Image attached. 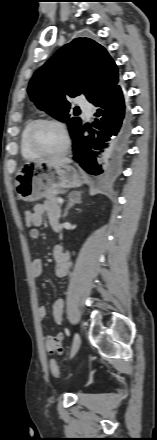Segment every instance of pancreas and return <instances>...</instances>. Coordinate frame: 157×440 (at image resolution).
Listing matches in <instances>:
<instances>
[{"label": "pancreas", "instance_id": "obj_1", "mask_svg": "<svg viewBox=\"0 0 157 440\" xmlns=\"http://www.w3.org/2000/svg\"><path fill=\"white\" fill-rule=\"evenodd\" d=\"M58 193L59 191H55L54 193L47 195L46 199L54 204H58V198L56 197Z\"/></svg>", "mask_w": 157, "mask_h": 440}]
</instances>
